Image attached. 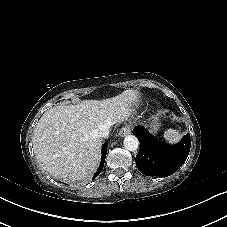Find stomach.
Listing matches in <instances>:
<instances>
[{
	"label": "stomach",
	"mask_w": 227,
	"mask_h": 227,
	"mask_svg": "<svg viewBox=\"0 0 227 227\" xmlns=\"http://www.w3.org/2000/svg\"><path fill=\"white\" fill-rule=\"evenodd\" d=\"M160 123L159 120L157 118H154L152 124H151V131L156 133L157 130L159 129Z\"/></svg>",
	"instance_id": "obj_1"
}]
</instances>
